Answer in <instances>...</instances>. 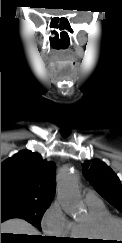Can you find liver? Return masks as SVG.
Segmentation results:
<instances>
[{
    "label": "liver",
    "mask_w": 122,
    "mask_h": 243,
    "mask_svg": "<svg viewBox=\"0 0 122 243\" xmlns=\"http://www.w3.org/2000/svg\"><path fill=\"white\" fill-rule=\"evenodd\" d=\"M1 233L40 235L35 227L19 218L10 219L1 223Z\"/></svg>",
    "instance_id": "liver-1"
}]
</instances>
